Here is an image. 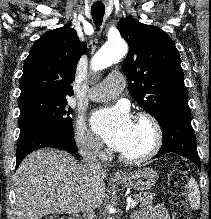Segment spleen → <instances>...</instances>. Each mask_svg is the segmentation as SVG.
I'll list each match as a JSON object with an SVG mask.
<instances>
[{
  "label": "spleen",
  "instance_id": "3e777b00",
  "mask_svg": "<svg viewBox=\"0 0 211 219\" xmlns=\"http://www.w3.org/2000/svg\"><path fill=\"white\" fill-rule=\"evenodd\" d=\"M188 200L192 209L200 208V191L194 178H190L188 183Z\"/></svg>",
  "mask_w": 211,
  "mask_h": 219
}]
</instances>
